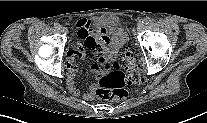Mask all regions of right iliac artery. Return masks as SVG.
<instances>
[{"instance_id": "1", "label": "right iliac artery", "mask_w": 207, "mask_h": 123, "mask_svg": "<svg viewBox=\"0 0 207 123\" xmlns=\"http://www.w3.org/2000/svg\"><path fill=\"white\" fill-rule=\"evenodd\" d=\"M54 27L57 28V29H60L61 28V26H60L59 23H54Z\"/></svg>"}]
</instances>
